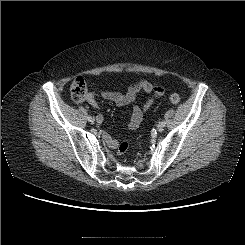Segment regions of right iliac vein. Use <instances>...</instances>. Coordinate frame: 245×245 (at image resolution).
<instances>
[{"label": "right iliac vein", "mask_w": 245, "mask_h": 245, "mask_svg": "<svg viewBox=\"0 0 245 245\" xmlns=\"http://www.w3.org/2000/svg\"><path fill=\"white\" fill-rule=\"evenodd\" d=\"M88 121H89L90 123H94L95 119H94L93 117H91V118L88 119Z\"/></svg>", "instance_id": "63e3f726"}]
</instances>
